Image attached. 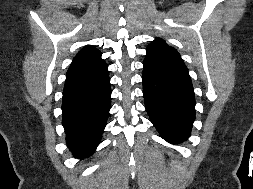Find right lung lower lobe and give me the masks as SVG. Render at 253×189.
<instances>
[{"mask_svg": "<svg viewBox=\"0 0 253 189\" xmlns=\"http://www.w3.org/2000/svg\"><path fill=\"white\" fill-rule=\"evenodd\" d=\"M110 96L108 73L89 81H65L62 125L74 157L84 158L95 151L106 126Z\"/></svg>", "mask_w": 253, "mask_h": 189, "instance_id": "obj_1", "label": "right lung lower lobe"}]
</instances>
